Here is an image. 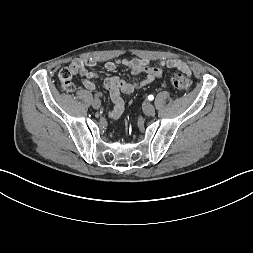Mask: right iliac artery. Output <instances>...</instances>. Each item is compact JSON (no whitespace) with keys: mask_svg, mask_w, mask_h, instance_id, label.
<instances>
[{"mask_svg":"<svg viewBox=\"0 0 253 253\" xmlns=\"http://www.w3.org/2000/svg\"><path fill=\"white\" fill-rule=\"evenodd\" d=\"M100 97H102V93H99V92H98V93L95 94V98H96V99H99Z\"/></svg>","mask_w":253,"mask_h":253,"instance_id":"right-iliac-artery-1","label":"right iliac artery"}]
</instances>
